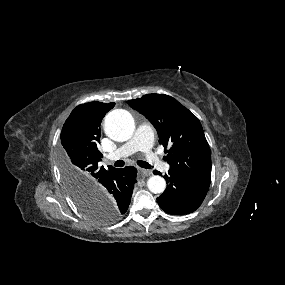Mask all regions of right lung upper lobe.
<instances>
[{
	"label": "right lung upper lobe",
	"mask_w": 285,
	"mask_h": 285,
	"mask_svg": "<svg viewBox=\"0 0 285 285\" xmlns=\"http://www.w3.org/2000/svg\"><path fill=\"white\" fill-rule=\"evenodd\" d=\"M115 103L91 102L77 106L66 120L61 132V158L77 180L80 190L89 189L97 179L116 168L99 167L102 154L97 148L100 141V124Z\"/></svg>",
	"instance_id": "right-lung-upper-lobe-1"
}]
</instances>
